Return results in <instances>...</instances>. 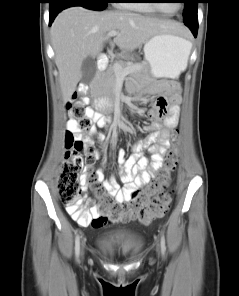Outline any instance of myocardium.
Returning a JSON list of instances; mask_svg holds the SVG:
<instances>
[{"instance_id":"obj_1","label":"myocardium","mask_w":239,"mask_h":296,"mask_svg":"<svg viewBox=\"0 0 239 296\" xmlns=\"http://www.w3.org/2000/svg\"><path fill=\"white\" fill-rule=\"evenodd\" d=\"M150 1V5H151V7L152 8H154L156 11H158L159 13H162V14H164V15H168V14H172L173 12H171V13H168V12H165L160 6H159V4L157 3V1L156 0H149ZM177 10V9H176ZM175 10V11H176ZM174 11V12H175Z\"/></svg>"}]
</instances>
